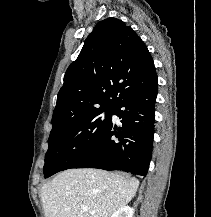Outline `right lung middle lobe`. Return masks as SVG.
Wrapping results in <instances>:
<instances>
[{"label": "right lung middle lobe", "mask_w": 211, "mask_h": 217, "mask_svg": "<svg viewBox=\"0 0 211 217\" xmlns=\"http://www.w3.org/2000/svg\"><path fill=\"white\" fill-rule=\"evenodd\" d=\"M112 115L113 109L95 110L52 128L45 156V177L70 168L86 156L105 136Z\"/></svg>", "instance_id": "1"}]
</instances>
